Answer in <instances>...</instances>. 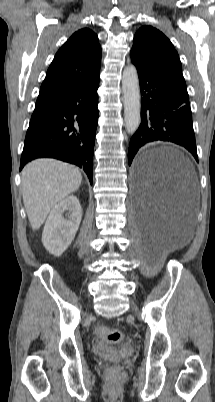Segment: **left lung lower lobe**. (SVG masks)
<instances>
[{
	"label": "left lung lower lobe",
	"mask_w": 215,
	"mask_h": 402,
	"mask_svg": "<svg viewBox=\"0 0 215 402\" xmlns=\"http://www.w3.org/2000/svg\"><path fill=\"white\" fill-rule=\"evenodd\" d=\"M141 123L132 136L128 162L147 143L165 141L186 148L198 162L189 96L164 78L137 68Z\"/></svg>",
	"instance_id": "left-lung-lower-lobe-1"
}]
</instances>
